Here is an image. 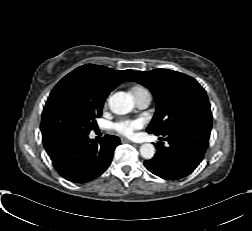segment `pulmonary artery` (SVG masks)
Segmentation results:
<instances>
[{
    "label": "pulmonary artery",
    "mask_w": 252,
    "mask_h": 231,
    "mask_svg": "<svg viewBox=\"0 0 252 231\" xmlns=\"http://www.w3.org/2000/svg\"><path fill=\"white\" fill-rule=\"evenodd\" d=\"M134 100L139 108L144 109L151 102V94L148 91L136 93L134 94Z\"/></svg>",
    "instance_id": "1"
}]
</instances>
